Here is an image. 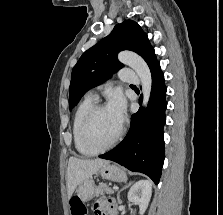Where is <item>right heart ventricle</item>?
<instances>
[{
    "instance_id": "1",
    "label": "right heart ventricle",
    "mask_w": 223,
    "mask_h": 215,
    "mask_svg": "<svg viewBox=\"0 0 223 215\" xmlns=\"http://www.w3.org/2000/svg\"><path fill=\"white\" fill-rule=\"evenodd\" d=\"M95 105L94 99L92 98H85L78 106L73 122H72V137L73 143L76 151L84 156H93L95 155L91 149H89L83 142L82 139V126L84 120L91 110V108Z\"/></svg>"
}]
</instances>
